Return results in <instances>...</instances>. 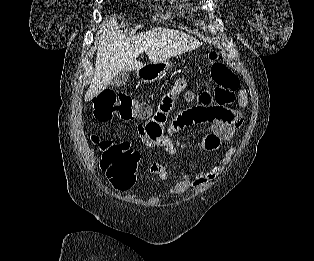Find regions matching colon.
<instances>
[{"label": "colon", "mask_w": 314, "mask_h": 261, "mask_svg": "<svg viewBox=\"0 0 314 261\" xmlns=\"http://www.w3.org/2000/svg\"><path fill=\"white\" fill-rule=\"evenodd\" d=\"M209 59L212 62L210 78L213 88L200 93V103L226 104L235 98V92L239 87L238 78L226 64L218 60L216 51H210ZM90 114L100 122H111L114 119L122 121L147 119L150 111L146 104H139L127 92L106 88L93 98ZM92 139L99 145L100 167L111 185L120 190L131 187L135 181L139 154L122 140H101L97 136H93Z\"/></svg>", "instance_id": "1"}]
</instances>
